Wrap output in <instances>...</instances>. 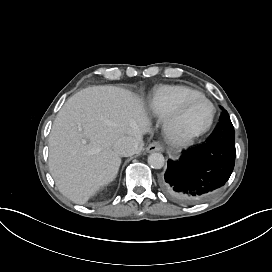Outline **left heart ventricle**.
<instances>
[{
  "mask_svg": "<svg viewBox=\"0 0 272 272\" xmlns=\"http://www.w3.org/2000/svg\"><path fill=\"white\" fill-rule=\"evenodd\" d=\"M210 116V105L205 100L198 98L184 108L178 124L183 130L198 129L208 123Z\"/></svg>",
  "mask_w": 272,
  "mask_h": 272,
  "instance_id": "obj_1",
  "label": "left heart ventricle"
}]
</instances>
